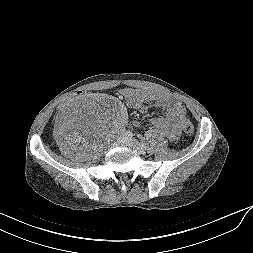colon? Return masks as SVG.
Returning a JSON list of instances; mask_svg holds the SVG:
<instances>
[{
    "label": "colon",
    "instance_id": "obj_1",
    "mask_svg": "<svg viewBox=\"0 0 253 253\" xmlns=\"http://www.w3.org/2000/svg\"><path fill=\"white\" fill-rule=\"evenodd\" d=\"M90 96H91L90 90H80L78 92L79 98L90 97ZM76 98H77L76 92H69L68 96L65 97V100L57 104V109L60 111H65L66 108H68L72 104V99H76ZM182 129L184 133H186L187 135H191L194 132V126L189 120H184L182 122Z\"/></svg>",
    "mask_w": 253,
    "mask_h": 253
}]
</instances>
